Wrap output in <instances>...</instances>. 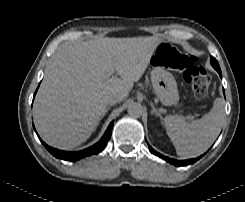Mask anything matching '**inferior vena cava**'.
I'll return each mask as SVG.
<instances>
[{
	"instance_id": "inferior-vena-cava-1",
	"label": "inferior vena cava",
	"mask_w": 245,
	"mask_h": 202,
	"mask_svg": "<svg viewBox=\"0 0 245 202\" xmlns=\"http://www.w3.org/2000/svg\"><path fill=\"white\" fill-rule=\"evenodd\" d=\"M121 100V96L117 93H112L109 94L106 97V104L107 105H115L116 103H118Z\"/></svg>"
}]
</instances>
